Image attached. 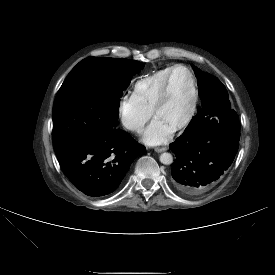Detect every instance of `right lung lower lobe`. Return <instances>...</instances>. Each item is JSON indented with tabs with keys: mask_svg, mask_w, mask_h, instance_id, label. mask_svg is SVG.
<instances>
[{
	"mask_svg": "<svg viewBox=\"0 0 275 275\" xmlns=\"http://www.w3.org/2000/svg\"><path fill=\"white\" fill-rule=\"evenodd\" d=\"M144 150L128 133L114 128L69 141L55 152L72 184L88 196L99 197L118 188L133 160Z\"/></svg>",
	"mask_w": 275,
	"mask_h": 275,
	"instance_id": "1",
	"label": "right lung lower lobe"
}]
</instances>
